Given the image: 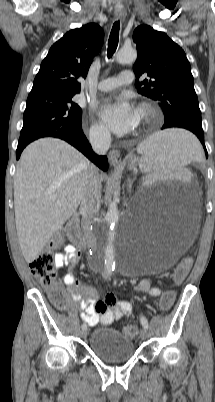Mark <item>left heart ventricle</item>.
<instances>
[{"label": "left heart ventricle", "instance_id": "left-heart-ventricle-1", "mask_svg": "<svg viewBox=\"0 0 215 402\" xmlns=\"http://www.w3.org/2000/svg\"><path fill=\"white\" fill-rule=\"evenodd\" d=\"M136 118H137V122H136V126H135L134 130L140 129L142 126V123H143V117L137 111H136Z\"/></svg>", "mask_w": 215, "mask_h": 402}]
</instances>
